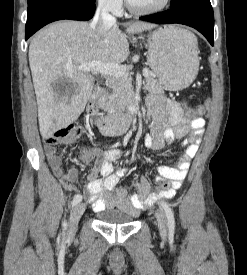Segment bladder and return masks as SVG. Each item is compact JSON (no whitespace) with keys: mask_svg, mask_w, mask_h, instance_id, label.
Returning a JSON list of instances; mask_svg holds the SVG:
<instances>
[{"mask_svg":"<svg viewBox=\"0 0 247 275\" xmlns=\"http://www.w3.org/2000/svg\"><path fill=\"white\" fill-rule=\"evenodd\" d=\"M98 221L108 225H126L135 220V215L118 208H104L96 211Z\"/></svg>","mask_w":247,"mask_h":275,"instance_id":"bladder-1","label":"bladder"}]
</instances>
